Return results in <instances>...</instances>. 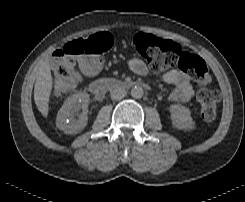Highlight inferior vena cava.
<instances>
[{
    "label": "inferior vena cava",
    "mask_w": 245,
    "mask_h": 202,
    "mask_svg": "<svg viewBox=\"0 0 245 202\" xmlns=\"http://www.w3.org/2000/svg\"><path fill=\"white\" fill-rule=\"evenodd\" d=\"M127 92L123 88H115L111 91V99L112 100H120L126 96Z\"/></svg>",
    "instance_id": "obj_1"
}]
</instances>
